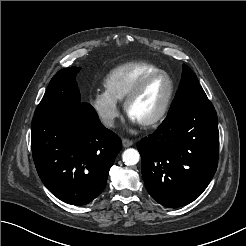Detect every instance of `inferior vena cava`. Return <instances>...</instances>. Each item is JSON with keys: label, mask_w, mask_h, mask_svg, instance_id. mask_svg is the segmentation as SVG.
Returning <instances> with one entry per match:
<instances>
[{"label": "inferior vena cava", "mask_w": 246, "mask_h": 246, "mask_svg": "<svg viewBox=\"0 0 246 246\" xmlns=\"http://www.w3.org/2000/svg\"><path fill=\"white\" fill-rule=\"evenodd\" d=\"M101 121L103 122L104 125L108 127H113L114 126V119L109 116H104L102 117Z\"/></svg>", "instance_id": "inferior-vena-cava-1"}]
</instances>
